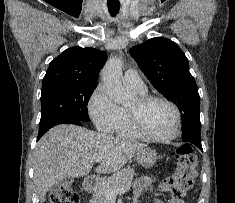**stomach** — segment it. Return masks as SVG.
Here are the masks:
<instances>
[{"label":"stomach","instance_id":"obj_1","mask_svg":"<svg viewBox=\"0 0 235 203\" xmlns=\"http://www.w3.org/2000/svg\"><path fill=\"white\" fill-rule=\"evenodd\" d=\"M157 159L158 153L151 148H143L136 153V160L143 167H152Z\"/></svg>","mask_w":235,"mask_h":203}]
</instances>
